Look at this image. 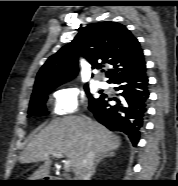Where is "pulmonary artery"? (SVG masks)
I'll return each instance as SVG.
<instances>
[{
  "mask_svg": "<svg viewBox=\"0 0 178 186\" xmlns=\"http://www.w3.org/2000/svg\"><path fill=\"white\" fill-rule=\"evenodd\" d=\"M98 86L100 88H107L108 84H107V82L105 80H99L98 81Z\"/></svg>",
  "mask_w": 178,
  "mask_h": 186,
  "instance_id": "1",
  "label": "pulmonary artery"
}]
</instances>
